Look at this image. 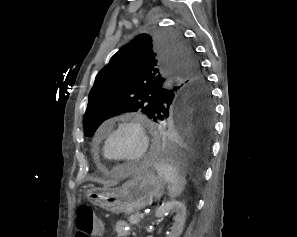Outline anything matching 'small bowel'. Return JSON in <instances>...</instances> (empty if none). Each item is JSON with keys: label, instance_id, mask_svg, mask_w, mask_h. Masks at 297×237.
I'll return each mask as SVG.
<instances>
[{"label": "small bowel", "instance_id": "1", "mask_svg": "<svg viewBox=\"0 0 297 237\" xmlns=\"http://www.w3.org/2000/svg\"><path fill=\"white\" fill-rule=\"evenodd\" d=\"M116 232L119 237H128L130 229L125 221H119L116 224Z\"/></svg>", "mask_w": 297, "mask_h": 237}]
</instances>
